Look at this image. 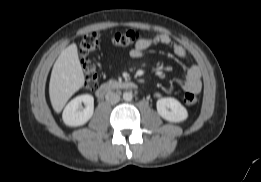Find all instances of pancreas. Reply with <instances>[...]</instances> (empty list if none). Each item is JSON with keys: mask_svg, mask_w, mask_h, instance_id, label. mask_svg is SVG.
<instances>
[{"mask_svg": "<svg viewBox=\"0 0 261 182\" xmlns=\"http://www.w3.org/2000/svg\"><path fill=\"white\" fill-rule=\"evenodd\" d=\"M113 83H115L114 80H109V84H113Z\"/></svg>", "mask_w": 261, "mask_h": 182, "instance_id": "1", "label": "pancreas"}]
</instances>
